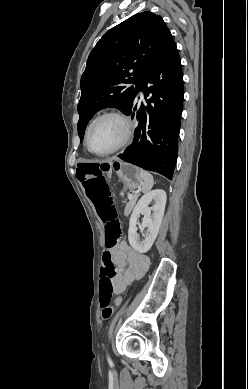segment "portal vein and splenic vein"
I'll return each mask as SVG.
<instances>
[{
  "label": "portal vein and splenic vein",
  "mask_w": 248,
  "mask_h": 389,
  "mask_svg": "<svg viewBox=\"0 0 248 389\" xmlns=\"http://www.w3.org/2000/svg\"><path fill=\"white\" fill-rule=\"evenodd\" d=\"M128 198H129V200H131L133 198V194H129Z\"/></svg>",
  "instance_id": "18ae733b"
}]
</instances>
